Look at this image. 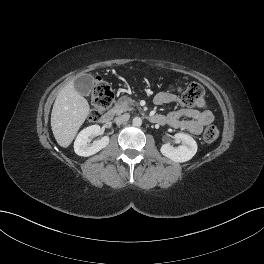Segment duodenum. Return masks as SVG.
<instances>
[{
  "mask_svg": "<svg viewBox=\"0 0 264 264\" xmlns=\"http://www.w3.org/2000/svg\"><path fill=\"white\" fill-rule=\"evenodd\" d=\"M115 115H116V111L115 110L107 111L106 113H104L101 116L100 122L103 123V124H108V123H110L113 120ZM148 118L153 123H160L162 121V118L159 115H151Z\"/></svg>",
  "mask_w": 264,
  "mask_h": 264,
  "instance_id": "duodenum-1",
  "label": "duodenum"
}]
</instances>
